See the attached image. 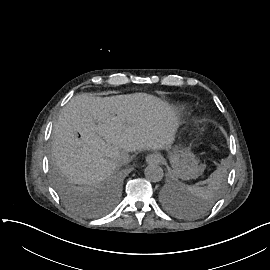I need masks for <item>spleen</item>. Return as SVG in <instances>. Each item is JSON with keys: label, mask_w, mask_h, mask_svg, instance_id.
Returning <instances> with one entry per match:
<instances>
[{"label": "spleen", "mask_w": 270, "mask_h": 270, "mask_svg": "<svg viewBox=\"0 0 270 270\" xmlns=\"http://www.w3.org/2000/svg\"><path fill=\"white\" fill-rule=\"evenodd\" d=\"M224 177L225 174L222 171L216 170L210 175L208 179L196 183L193 186H185L181 191V194L176 196L184 203V205H188L190 202H196L195 199L199 195V185L208 184L210 186L218 187L221 182L224 181Z\"/></svg>", "instance_id": "obj_1"}]
</instances>
